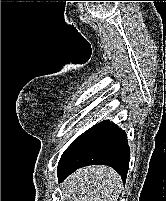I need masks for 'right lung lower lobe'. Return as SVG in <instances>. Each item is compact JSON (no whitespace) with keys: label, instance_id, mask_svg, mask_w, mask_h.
Instances as JSON below:
<instances>
[{"label":"right lung lower lobe","instance_id":"1","mask_svg":"<svg viewBox=\"0 0 166 201\" xmlns=\"http://www.w3.org/2000/svg\"><path fill=\"white\" fill-rule=\"evenodd\" d=\"M129 159L125 131L106 120L84 132L65 150L58 165V179L61 182L78 168L101 164L115 169L125 182Z\"/></svg>","mask_w":166,"mask_h":201}]
</instances>
